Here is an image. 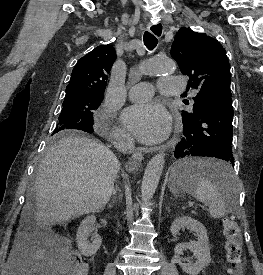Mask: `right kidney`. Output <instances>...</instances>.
Returning a JSON list of instances; mask_svg holds the SVG:
<instances>
[{
    "label": "right kidney",
    "mask_w": 263,
    "mask_h": 275,
    "mask_svg": "<svg viewBox=\"0 0 263 275\" xmlns=\"http://www.w3.org/2000/svg\"><path fill=\"white\" fill-rule=\"evenodd\" d=\"M96 217L91 215L87 216L80 224L77 234L76 241L78 249L82 255L89 257L94 255L102 244L101 237L94 232L95 230ZM91 236V241H88V237Z\"/></svg>",
    "instance_id": "ca27d5eb"
}]
</instances>
